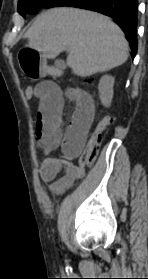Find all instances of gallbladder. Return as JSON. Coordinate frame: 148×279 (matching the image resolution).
Returning <instances> with one entry per match:
<instances>
[{"label":"gallbladder","mask_w":148,"mask_h":279,"mask_svg":"<svg viewBox=\"0 0 148 279\" xmlns=\"http://www.w3.org/2000/svg\"><path fill=\"white\" fill-rule=\"evenodd\" d=\"M54 66L59 69L63 68L62 62L59 60L55 61Z\"/></svg>","instance_id":"obj_1"}]
</instances>
